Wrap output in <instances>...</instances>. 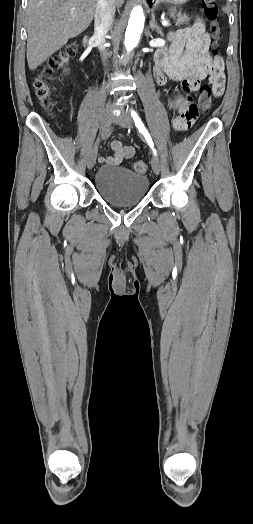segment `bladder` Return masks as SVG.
<instances>
[{
    "instance_id": "obj_1",
    "label": "bladder",
    "mask_w": 253,
    "mask_h": 524,
    "mask_svg": "<svg viewBox=\"0 0 253 524\" xmlns=\"http://www.w3.org/2000/svg\"><path fill=\"white\" fill-rule=\"evenodd\" d=\"M101 198L114 206L139 204L149 191L148 178L122 166H102L95 175Z\"/></svg>"
}]
</instances>
